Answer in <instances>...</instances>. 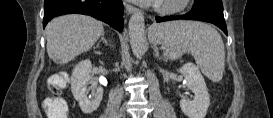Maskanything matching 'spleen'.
<instances>
[{"label":"spleen","instance_id":"spleen-1","mask_svg":"<svg viewBox=\"0 0 273 118\" xmlns=\"http://www.w3.org/2000/svg\"><path fill=\"white\" fill-rule=\"evenodd\" d=\"M153 44H162L170 60L190 52L202 73L219 82L225 69V48L220 34L210 25L197 21H172L154 25L149 33Z\"/></svg>","mask_w":273,"mask_h":118}]
</instances>
